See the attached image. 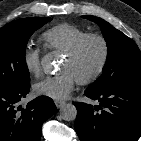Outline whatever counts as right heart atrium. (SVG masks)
<instances>
[{
    "label": "right heart atrium",
    "mask_w": 141,
    "mask_h": 141,
    "mask_svg": "<svg viewBox=\"0 0 141 141\" xmlns=\"http://www.w3.org/2000/svg\"><path fill=\"white\" fill-rule=\"evenodd\" d=\"M23 65L26 71L34 76L41 71V51L31 45H27L22 55Z\"/></svg>",
    "instance_id": "1"
}]
</instances>
